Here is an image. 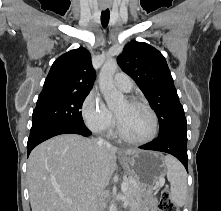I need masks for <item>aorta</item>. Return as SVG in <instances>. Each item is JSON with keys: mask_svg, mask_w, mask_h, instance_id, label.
I'll list each match as a JSON object with an SVG mask.
<instances>
[{"mask_svg": "<svg viewBox=\"0 0 221 211\" xmlns=\"http://www.w3.org/2000/svg\"><path fill=\"white\" fill-rule=\"evenodd\" d=\"M118 68L115 59L107 60L99 74V88L109 108H115L124 103V95L114 85L113 77ZM109 211H117L114 202L110 203Z\"/></svg>", "mask_w": 221, "mask_h": 211, "instance_id": "762f6f07", "label": "aorta"}]
</instances>
